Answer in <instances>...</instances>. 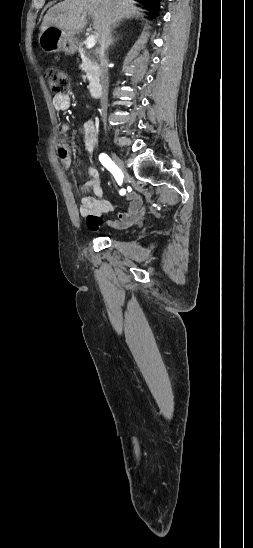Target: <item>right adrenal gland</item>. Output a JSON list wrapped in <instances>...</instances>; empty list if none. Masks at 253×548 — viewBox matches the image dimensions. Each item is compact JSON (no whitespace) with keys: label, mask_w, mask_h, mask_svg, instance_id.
<instances>
[{"label":"right adrenal gland","mask_w":253,"mask_h":548,"mask_svg":"<svg viewBox=\"0 0 253 548\" xmlns=\"http://www.w3.org/2000/svg\"><path fill=\"white\" fill-rule=\"evenodd\" d=\"M112 32H113V31H111L110 34H109V37H108V40H107L106 49H108V48H109L111 45H113L114 42H115V39H114L113 36H112Z\"/></svg>","instance_id":"1"}]
</instances>
